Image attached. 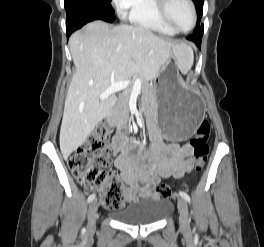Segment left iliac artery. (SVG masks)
<instances>
[{
    "label": "left iliac artery",
    "instance_id": "obj_1",
    "mask_svg": "<svg viewBox=\"0 0 264 247\" xmlns=\"http://www.w3.org/2000/svg\"><path fill=\"white\" fill-rule=\"evenodd\" d=\"M179 194H180V196H181L182 198H184L187 202H190V196H189L186 192L180 191Z\"/></svg>",
    "mask_w": 264,
    "mask_h": 247
}]
</instances>
